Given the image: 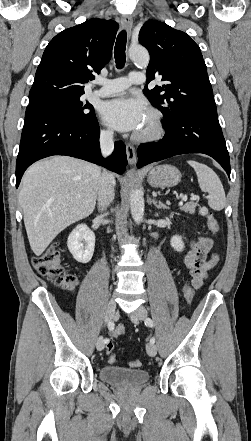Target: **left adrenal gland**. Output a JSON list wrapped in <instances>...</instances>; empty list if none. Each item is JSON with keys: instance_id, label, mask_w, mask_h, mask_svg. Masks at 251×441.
Returning a JSON list of instances; mask_svg holds the SVG:
<instances>
[{"instance_id": "obj_1", "label": "left adrenal gland", "mask_w": 251, "mask_h": 441, "mask_svg": "<svg viewBox=\"0 0 251 441\" xmlns=\"http://www.w3.org/2000/svg\"><path fill=\"white\" fill-rule=\"evenodd\" d=\"M150 202L153 203V205L157 208V209H168V207L166 205H164L162 202H157L155 199H152Z\"/></svg>"}]
</instances>
